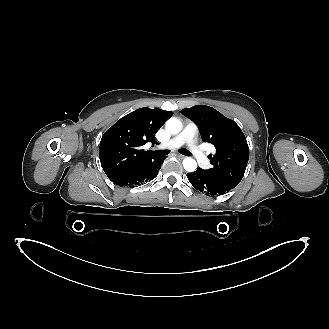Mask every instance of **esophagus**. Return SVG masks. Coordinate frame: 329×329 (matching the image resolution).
<instances>
[{
  "instance_id": "34e87169",
  "label": "esophagus",
  "mask_w": 329,
  "mask_h": 329,
  "mask_svg": "<svg viewBox=\"0 0 329 329\" xmlns=\"http://www.w3.org/2000/svg\"><path fill=\"white\" fill-rule=\"evenodd\" d=\"M176 157L179 158V159H184L185 158L184 155H180V154H177Z\"/></svg>"
}]
</instances>
